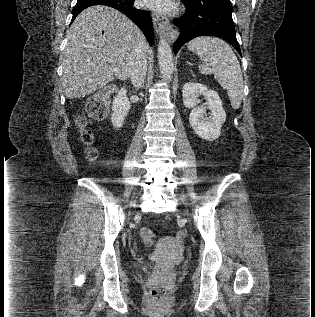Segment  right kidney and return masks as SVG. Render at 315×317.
<instances>
[{
	"mask_svg": "<svg viewBox=\"0 0 315 317\" xmlns=\"http://www.w3.org/2000/svg\"><path fill=\"white\" fill-rule=\"evenodd\" d=\"M127 90L122 88L118 95L114 97L112 103L111 122L114 128L119 129L123 126L124 119L127 116L131 105L126 96Z\"/></svg>",
	"mask_w": 315,
	"mask_h": 317,
	"instance_id": "ca27d5eb",
	"label": "right kidney"
}]
</instances>
